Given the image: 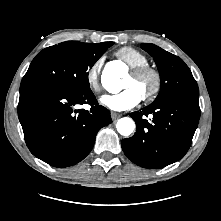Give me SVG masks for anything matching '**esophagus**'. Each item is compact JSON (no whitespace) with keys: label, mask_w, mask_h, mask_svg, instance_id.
<instances>
[{"label":"esophagus","mask_w":221,"mask_h":221,"mask_svg":"<svg viewBox=\"0 0 221 221\" xmlns=\"http://www.w3.org/2000/svg\"><path fill=\"white\" fill-rule=\"evenodd\" d=\"M120 116H121L120 113L113 112V111L111 112V118H112L113 120H117Z\"/></svg>","instance_id":"1"}]
</instances>
